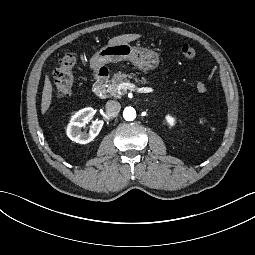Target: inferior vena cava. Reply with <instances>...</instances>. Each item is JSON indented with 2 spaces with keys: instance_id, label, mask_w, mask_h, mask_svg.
I'll use <instances>...</instances> for the list:
<instances>
[{
  "instance_id": "obj_1",
  "label": "inferior vena cava",
  "mask_w": 255,
  "mask_h": 255,
  "mask_svg": "<svg viewBox=\"0 0 255 255\" xmlns=\"http://www.w3.org/2000/svg\"><path fill=\"white\" fill-rule=\"evenodd\" d=\"M106 109L110 116H116L121 110V104L118 101L109 100Z\"/></svg>"
}]
</instances>
